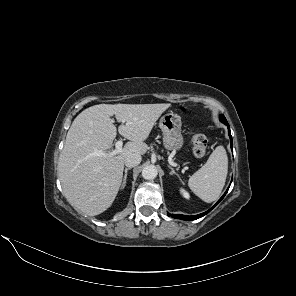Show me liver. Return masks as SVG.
Returning a JSON list of instances; mask_svg holds the SVG:
<instances>
[{
    "mask_svg": "<svg viewBox=\"0 0 296 296\" xmlns=\"http://www.w3.org/2000/svg\"><path fill=\"white\" fill-rule=\"evenodd\" d=\"M171 104H99L83 110L73 121L59 157L58 177L70 205L96 216L113 203L122 183L125 158L145 154L144 142L154 124ZM130 140L116 155L109 149L117 135ZM101 151L105 155L96 156Z\"/></svg>",
    "mask_w": 296,
    "mask_h": 296,
    "instance_id": "obj_1",
    "label": "liver"
}]
</instances>
